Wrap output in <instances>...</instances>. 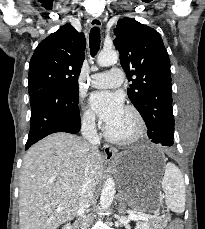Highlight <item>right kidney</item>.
Returning <instances> with one entry per match:
<instances>
[{"mask_svg": "<svg viewBox=\"0 0 205 229\" xmlns=\"http://www.w3.org/2000/svg\"><path fill=\"white\" fill-rule=\"evenodd\" d=\"M62 229H72L70 224L65 225Z\"/></svg>", "mask_w": 205, "mask_h": 229, "instance_id": "1", "label": "right kidney"}]
</instances>
